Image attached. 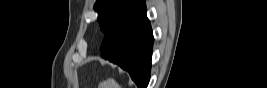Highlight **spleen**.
<instances>
[{
    "label": "spleen",
    "instance_id": "1",
    "mask_svg": "<svg viewBox=\"0 0 267 88\" xmlns=\"http://www.w3.org/2000/svg\"><path fill=\"white\" fill-rule=\"evenodd\" d=\"M110 81H111L110 88H120L119 85L114 80H110Z\"/></svg>",
    "mask_w": 267,
    "mask_h": 88
}]
</instances>
